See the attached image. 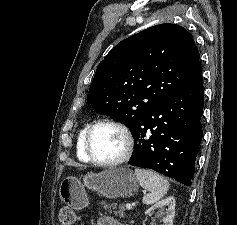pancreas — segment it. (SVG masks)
Masks as SVG:
<instances>
[{
	"mask_svg": "<svg viewBox=\"0 0 237 225\" xmlns=\"http://www.w3.org/2000/svg\"><path fill=\"white\" fill-rule=\"evenodd\" d=\"M101 204H104V209H108L110 213H114L115 215H118L120 218L125 216V208L123 204H108L106 201H102Z\"/></svg>",
	"mask_w": 237,
	"mask_h": 225,
	"instance_id": "cf45deb5",
	"label": "pancreas"
}]
</instances>
